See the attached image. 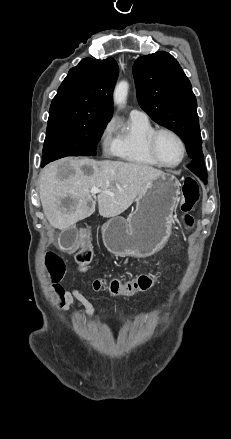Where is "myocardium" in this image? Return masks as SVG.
I'll return each instance as SVG.
<instances>
[{
    "instance_id": "myocardium-1",
    "label": "myocardium",
    "mask_w": 231,
    "mask_h": 439,
    "mask_svg": "<svg viewBox=\"0 0 231 439\" xmlns=\"http://www.w3.org/2000/svg\"><path fill=\"white\" fill-rule=\"evenodd\" d=\"M162 133H168L170 135H172L180 144L181 147V157L179 159V161L175 164H166L164 163L158 153H157V148H156V142H157V138L160 134ZM146 148H147V152L149 154V156L152 158V160L158 165L161 166L163 168H167V169H173L176 168L178 166H180L182 164V162L184 161L185 157H186V153H187V149H186V144L183 140V138L173 129L170 128H157L154 129L147 137L146 139Z\"/></svg>"
}]
</instances>
